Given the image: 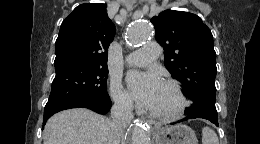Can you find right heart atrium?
Listing matches in <instances>:
<instances>
[{"mask_svg": "<svg viewBox=\"0 0 260 144\" xmlns=\"http://www.w3.org/2000/svg\"><path fill=\"white\" fill-rule=\"evenodd\" d=\"M110 94L114 103L122 109L132 108L133 101L130 95L124 90L120 79L113 78L110 84Z\"/></svg>", "mask_w": 260, "mask_h": 144, "instance_id": "d8ad5b80", "label": "right heart atrium"}]
</instances>
